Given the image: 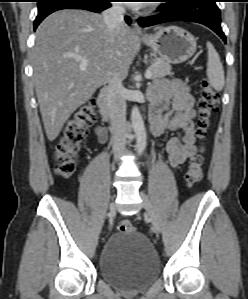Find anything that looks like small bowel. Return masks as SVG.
<instances>
[{
    "instance_id": "small-bowel-1",
    "label": "small bowel",
    "mask_w": 248,
    "mask_h": 299,
    "mask_svg": "<svg viewBox=\"0 0 248 299\" xmlns=\"http://www.w3.org/2000/svg\"><path fill=\"white\" fill-rule=\"evenodd\" d=\"M152 100V130L160 137L167 131H182L183 136L171 138L167 143L169 162L172 167L184 164L194 156L202 146L196 145L194 98L190 88L181 80H165L150 89ZM97 142L107 139V132L96 129Z\"/></svg>"
}]
</instances>
